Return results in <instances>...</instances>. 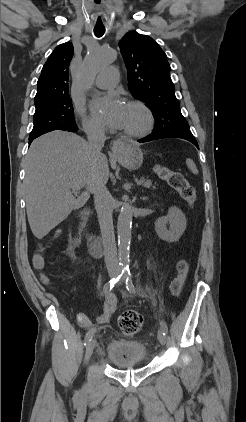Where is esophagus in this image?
<instances>
[{
    "instance_id": "esophagus-1",
    "label": "esophagus",
    "mask_w": 246,
    "mask_h": 422,
    "mask_svg": "<svg viewBox=\"0 0 246 422\" xmlns=\"http://www.w3.org/2000/svg\"><path fill=\"white\" fill-rule=\"evenodd\" d=\"M119 146H120V143H119V142H115V144H114V145H113V147H112V151H113V153L117 152V150H118Z\"/></svg>"
}]
</instances>
